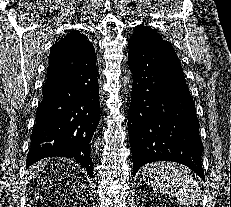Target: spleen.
<instances>
[{"mask_svg": "<svg viewBox=\"0 0 231 207\" xmlns=\"http://www.w3.org/2000/svg\"><path fill=\"white\" fill-rule=\"evenodd\" d=\"M142 178L154 190L171 194L184 207L200 200V187L189 171L171 162H156L142 168Z\"/></svg>", "mask_w": 231, "mask_h": 207, "instance_id": "obj_1", "label": "spleen"}]
</instances>
